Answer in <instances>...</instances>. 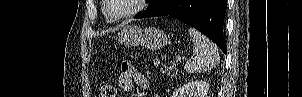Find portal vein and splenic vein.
Returning a JSON list of instances; mask_svg holds the SVG:
<instances>
[{"mask_svg":"<svg viewBox=\"0 0 302 97\" xmlns=\"http://www.w3.org/2000/svg\"><path fill=\"white\" fill-rule=\"evenodd\" d=\"M181 61V57L180 56H176V62H180Z\"/></svg>","mask_w":302,"mask_h":97,"instance_id":"1","label":"portal vein and splenic vein"}]
</instances>
